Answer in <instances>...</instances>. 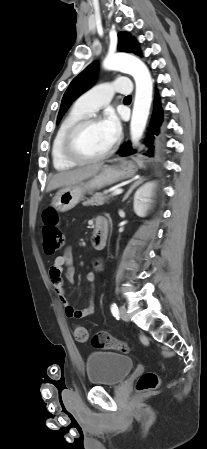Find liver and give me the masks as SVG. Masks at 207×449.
I'll return each instance as SVG.
<instances>
[{
  "label": "liver",
  "instance_id": "obj_1",
  "mask_svg": "<svg viewBox=\"0 0 207 449\" xmlns=\"http://www.w3.org/2000/svg\"><path fill=\"white\" fill-rule=\"evenodd\" d=\"M102 168V164H94L70 171L57 173L50 180L46 191L50 192L60 187H68L82 182L96 175Z\"/></svg>",
  "mask_w": 207,
  "mask_h": 449
}]
</instances>
